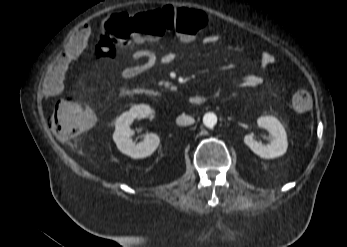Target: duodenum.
Returning a JSON list of instances; mask_svg holds the SVG:
<instances>
[{"mask_svg":"<svg viewBox=\"0 0 347 247\" xmlns=\"http://www.w3.org/2000/svg\"><path fill=\"white\" fill-rule=\"evenodd\" d=\"M136 95H144L148 97H159L160 94L152 89H144L133 92ZM206 102V98L203 95H192L188 98V103L192 106H200Z\"/></svg>","mask_w":347,"mask_h":247,"instance_id":"410a0bca","label":"duodenum"}]
</instances>
